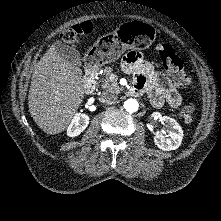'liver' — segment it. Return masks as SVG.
Here are the masks:
<instances>
[{"label": "liver", "instance_id": "1", "mask_svg": "<svg viewBox=\"0 0 221 221\" xmlns=\"http://www.w3.org/2000/svg\"><path fill=\"white\" fill-rule=\"evenodd\" d=\"M82 70L60 57L54 45L37 62L28 106L34 122L47 134L63 132L84 100Z\"/></svg>", "mask_w": 221, "mask_h": 221}]
</instances>
